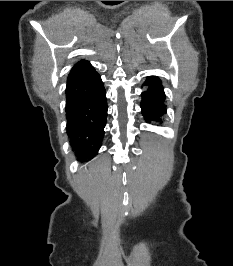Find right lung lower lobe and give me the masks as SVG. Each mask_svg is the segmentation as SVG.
Returning <instances> with one entry per match:
<instances>
[{"label": "right lung lower lobe", "instance_id": "98d812e1", "mask_svg": "<svg viewBox=\"0 0 233 266\" xmlns=\"http://www.w3.org/2000/svg\"><path fill=\"white\" fill-rule=\"evenodd\" d=\"M67 134L79 160L97 155L107 117L106 93L100 75L88 61L70 71L66 87Z\"/></svg>", "mask_w": 233, "mask_h": 266}]
</instances>
